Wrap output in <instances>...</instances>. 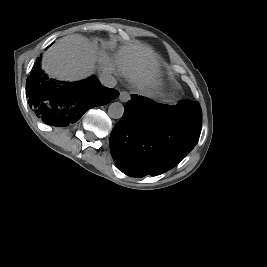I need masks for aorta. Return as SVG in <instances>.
I'll return each instance as SVG.
<instances>
[{
	"instance_id": "aorta-1",
	"label": "aorta",
	"mask_w": 267,
	"mask_h": 267,
	"mask_svg": "<svg viewBox=\"0 0 267 267\" xmlns=\"http://www.w3.org/2000/svg\"><path fill=\"white\" fill-rule=\"evenodd\" d=\"M124 107L120 102L111 103L108 108V115L113 119H120L123 116Z\"/></svg>"
}]
</instances>
